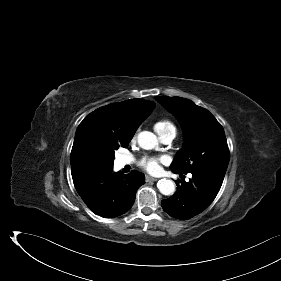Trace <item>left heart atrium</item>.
<instances>
[{
  "mask_svg": "<svg viewBox=\"0 0 281 281\" xmlns=\"http://www.w3.org/2000/svg\"><path fill=\"white\" fill-rule=\"evenodd\" d=\"M166 162V159L161 158H155V157H149L144 158L140 165L147 170L150 173H158L160 171V164Z\"/></svg>",
  "mask_w": 281,
  "mask_h": 281,
  "instance_id": "39dd6f15",
  "label": "left heart atrium"
}]
</instances>
